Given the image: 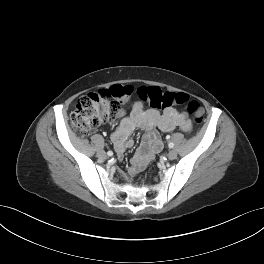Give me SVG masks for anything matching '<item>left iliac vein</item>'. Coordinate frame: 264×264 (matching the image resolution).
Listing matches in <instances>:
<instances>
[{"instance_id":"obj_1","label":"left iliac vein","mask_w":264,"mask_h":264,"mask_svg":"<svg viewBox=\"0 0 264 264\" xmlns=\"http://www.w3.org/2000/svg\"><path fill=\"white\" fill-rule=\"evenodd\" d=\"M177 157V152H176V150H170L169 152H168V154H167V158L169 159V160H174L175 158Z\"/></svg>"}]
</instances>
